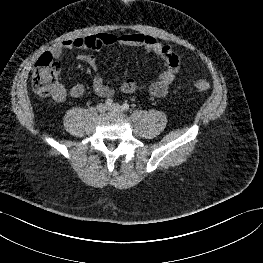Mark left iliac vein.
I'll return each instance as SVG.
<instances>
[{"mask_svg": "<svg viewBox=\"0 0 263 263\" xmlns=\"http://www.w3.org/2000/svg\"><path fill=\"white\" fill-rule=\"evenodd\" d=\"M108 109H109L110 111L117 112V113H122V112H123L122 106H120V105L117 104V103L112 104L111 106H109Z\"/></svg>", "mask_w": 263, "mask_h": 263, "instance_id": "4c4485c4", "label": "left iliac vein"}]
</instances>
